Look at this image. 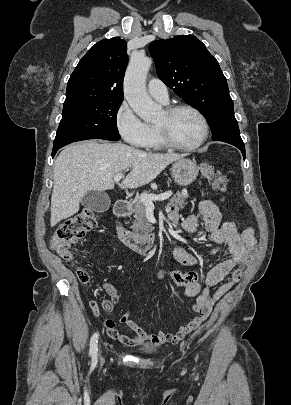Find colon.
<instances>
[{"label":"colon","instance_id":"obj_1","mask_svg":"<svg viewBox=\"0 0 291 405\" xmlns=\"http://www.w3.org/2000/svg\"><path fill=\"white\" fill-rule=\"evenodd\" d=\"M200 173L208 180L214 190L220 192L226 191V176L216 170L212 164L202 162L200 164ZM96 224V216L92 210L84 209L80 211L59 225L50 241L51 249L62 259L73 263L75 261V254L70 246L85 236ZM76 275L81 283L86 284L90 282V275L87 270L78 268ZM155 280H170L177 286L186 287L198 282V274L194 271L160 269L156 273Z\"/></svg>","mask_w":291,"mask_h":405}]
</instances>
